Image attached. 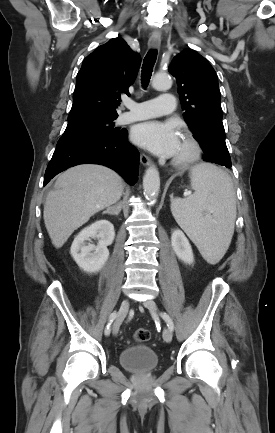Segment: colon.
<instances>
[{
	"label": "colon",
	"instance_id": "1",
	"mask_svg": "<svg viewBox=\"0 0 275 433\" xmlns=\"http://www.w3.org/2000/svg\"><path fill=\"white\" fill-rule=\"evenodd\" d=\"M150 338V332L145 328H138L134 331V339L137 342H145Z\"/></svg>",
	"mask_w": 275,
	"mask_h": 433
}]
</instances>
